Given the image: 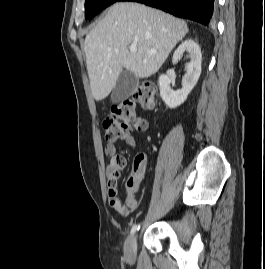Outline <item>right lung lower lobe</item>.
Returning <instances> with one entry per match:
<instances>
[{
    "label": "right lung lower lobe",
    "mask_w": 265,
    "mask_h": 269,
    "mask_svg": "<svg viewBox=\"0 0 265 269\" xmlns=\"http://www.w3.org/2000/svg\"><path fill=\"white\" fill-rule=\"evenodd\" d=\"M138 2L161 9L177 17L208 25L212 20L215 0H122Z\"/></svg>",
    "instance_id": "1"
}]
</instances>
